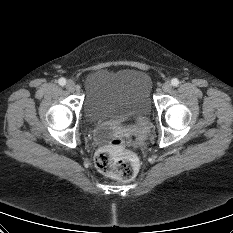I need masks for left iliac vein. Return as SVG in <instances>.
<instances>
[{"mask_svg":"<svg viewBox=\"0 0 233 233\" xmlns=\"http://www.w3.org/2000/svg\"><path fill=\"white\" fill-rule=\"evenodd\" d=\"M172 89V85L170 82H165L163 85H162V90L164 92H169L170 90Z\"/></svg>","mask_w":233,"mask_h":233,"instance_id":"1","label":"left iliac vein"}]
</instances>
